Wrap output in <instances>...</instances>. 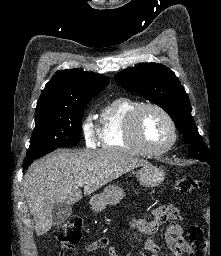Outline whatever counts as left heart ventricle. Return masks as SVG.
<instances>
[{"label":"left heart ventricle","instance_id":"b2bd125f","mask_svg":"<svg viewBox=\"0 0 221 256\" xmlns=\"http://www.w3.org/2000/svg\"><path fill=\"white\" fill-rule=\"evenodd\" d=\"M142 139L151 148L165 146L171 138V130L166 118L157 110L147 108L140 118Z\"/></svg>","mask_w":221,"mask_h":256}]
</instances>
